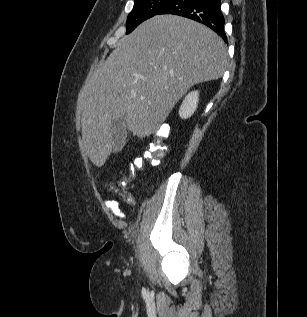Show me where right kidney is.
Here are the masks:
<instances>
[{
	"label": "right kidney",
	"instance_id": "right-kidney-1",
	"mask_svg": "<svg viewBox=\"0 0 307 317\" xmlns=\"http://www.w3.org/2000/svg\"><path fill=\"white\" fill-rule=\"evenodd\" d=\"M199 101V92L192 91L186 95L179 109V116L182 119L190 118L197 109Z\"/></svg>",
	"mask_w": 307,
	"mask_h": 317
}]
</instances>
